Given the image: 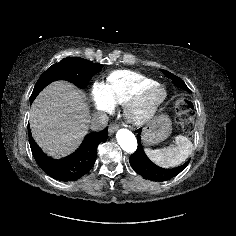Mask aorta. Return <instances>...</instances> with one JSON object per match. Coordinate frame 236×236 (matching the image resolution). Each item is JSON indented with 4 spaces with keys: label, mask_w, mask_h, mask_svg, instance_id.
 I'll use <instances>...</instances> for the list:
<instances>
[{
    "label": "aorta",
    "mask_w": 236,
    "mask_h": 236,
    "mask_svg": "<svg viewBox=\"0 0 236 236\" xmlns=\"http://www.w3.org/2000/svg\"><path fill=\"white\" fill-rule=\"evenodd\" d=\"M116 139L120 147L128 152L133 153L137 149V140L135 135L128 129H119L116 133Z\"/></svg>",
    "instance_id": "1"
}]
</instances>
